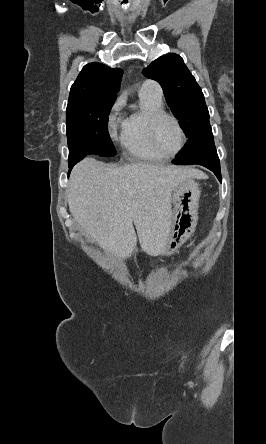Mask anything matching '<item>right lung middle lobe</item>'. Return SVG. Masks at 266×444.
<instances>
[{"mask_svg": "<svg viewBox=\"0 0 266 444\" xmlns=\"http://www.w3.org/2000/svg\"><path fill=\"white\" fill-rule=\"evenodd\" d=\"M116 97H100L70 104L66 110L68 163H77L86 155H116L108 133V115Z\"/></svg>", "mask_w": 266, "mask_h": 444, "instance_id": "obj_1", "label": "right lung middle lobe"}]
</instances>
